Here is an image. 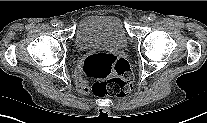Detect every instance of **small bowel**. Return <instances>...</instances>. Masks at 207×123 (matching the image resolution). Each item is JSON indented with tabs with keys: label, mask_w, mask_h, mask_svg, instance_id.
<instances>
[{
	"label": "small bowel",
	"mask_w": 207,
	"mask_h": 123,
	"mask_svg": "<svg viewBox=\"0 0 207 123\" xmlns=\"http://www.w3.org/2000/svg\"><path fill=\"white\" fill-rule=\"evenodd\" d=\"M75 79H76V86H77L78 90L82 93H87L88 92V84L82 78V74L80 72L76 73Z\"/></svg>",
	"instance_id": "1"
}]
</instances>
